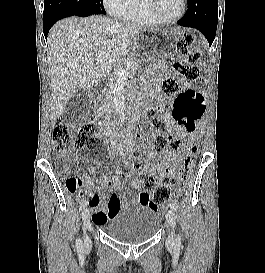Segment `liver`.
<instances>
[{
  "label": "liver",
  "mask_w": 265,
  "mask_h": 273,
  "mask_svg": "<svg viewBox=\"0 0 265 273\" xmlns=\"http://www.w3.org/2000/svg\"><path fill=\"white\" fill-rule=\"evenodd\" d=\"M145 28L104 16L63 19L48 35L51 75V120L55 124L76 91H88L104 80L111 68ZM100 54V57H96Z\"/></svg>",
  "instance_id": "liver-1"
}]
</instances>
